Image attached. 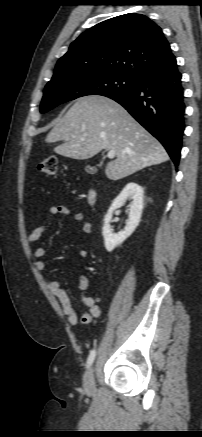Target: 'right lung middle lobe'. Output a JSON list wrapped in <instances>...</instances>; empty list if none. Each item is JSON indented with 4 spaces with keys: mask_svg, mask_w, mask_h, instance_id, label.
Returning <instances> with one entry per match:
<instances>
[{
    "mask_svg": "<svg viewBox=\"0 0 202 437\" xmlns=\"http://www.w3.org/2000/svg\"><path fill=\"white\" fill-rule=\"evenodd\" d=\"M137 79L121 73L69 74L52 79L45 87L40 111L86 95L112 96L133 88Z\"/></svg>",
    "mask_w": 202,
    "mask_h": 437,
    "instance_id": "dd1d6c3e",
    "label": "right lung middle lobe"
}]
</instances>
